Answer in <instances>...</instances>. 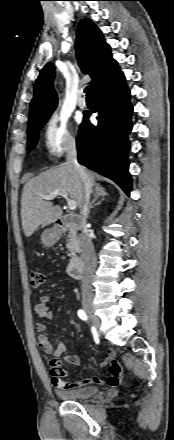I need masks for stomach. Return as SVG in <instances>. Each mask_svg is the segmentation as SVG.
<instances>
[{
  "label": "stomach",
  "mask_w": 174,
  "mask_h": 440,
  "mask_svg": "<svg viewBox=\"0 0 174 440\" xmlns=\"http://www.w3.org/2000/svg\"><path fill=\"white\" fill-rule=\"evenodd\" d=\"M59 238L60 234L55 228L46 229L41 235V241L47 247L53 246Z\"/></svg>",
  "instance_id": "0dacf381"
}]
</instances>
